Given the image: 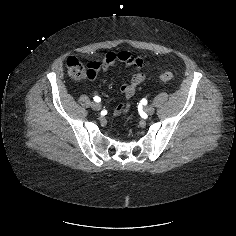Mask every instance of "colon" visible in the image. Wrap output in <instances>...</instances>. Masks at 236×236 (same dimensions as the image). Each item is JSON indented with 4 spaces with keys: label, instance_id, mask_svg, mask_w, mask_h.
<instances>
[{
    "label": "colon",
    "instance_id": "1",
    "mask_svg": "<svg viewBox=\"0 0 236 236\" xmlns=\"http://www.w3.org/2000/svg\"><path fill=\"white\" fill-rule=\"evenodd\" d=\"M65 64L68 75L72 79L89 78L92 74L87 65H84L76 57H68ZM159 79L163 82H168L173 79V73L169 71L164 72L160 75Z\"/></svg>",
    "mask_w": 236,
    "mask_h": 236
}]
</instances>
